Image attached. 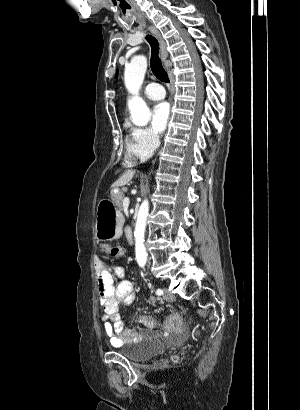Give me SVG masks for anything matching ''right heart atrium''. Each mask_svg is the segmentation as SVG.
<instances>
[{
	"label": "right heart atrium",
	"mask_w": 300,
	"mask_h": 410,
	"mask_svg": "<svg viewBox=\"0 0 300 410\" xmlns=\"http://www.w3.org/2000/svg\"><path fill=\"white\" fill-rule=\"evenodd\" d=\"M130 144L134 155L145 159L158 149L160 140L158 134L152 129L135 127L131 130Z\"/></svg>",
	"instance_id": "obj_1"
}]
</instances>
